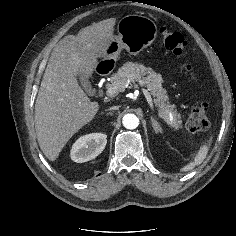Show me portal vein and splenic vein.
Here are the masks:
<instances>
[{
	"mask_svg": "<svg viewBox=\"0 0 236 236\" xmlns=\"http://www.w3.org/2000/svg\"><path fill=\"white\" fill-rule=\"evenodd\" d=\"M118 92H119V87L118 86H112V87H109L107 89L106 94L109 97H114V96H116L118 94ZM142 92H143V94H144V96H145V98H146V100H147L151 110L153 112H155V108H154L153 101H152L150 93L146 89H144V88H142Z\"/></svg>",
	"mask_w": 236,
	"mask_h": 236,
	"instance_id": "portal-vein-and-splenic-vein-1",
	"label": "portal vein and splenic vein"
}]
</instances>
